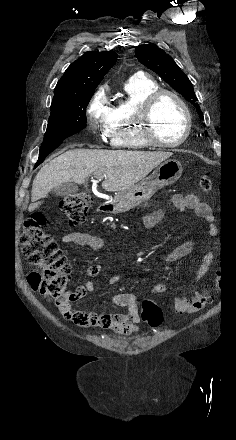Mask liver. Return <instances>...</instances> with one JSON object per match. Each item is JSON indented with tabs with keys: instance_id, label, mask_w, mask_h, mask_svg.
Here are the masks:
<instances>
[{
	"instance_id": "6515ba94",
	"label": "liver",
	"mask_w": 236,
	"mask_h": 440,
	"mask_svg": "<svg viewBox=\"0 0 236 440\" xmlns=\"http://www.w3.org/2000/svg\"><path fill=\"white\" fill-rule=\"evenodd\" d=\"M172 156L170 152L126 150L72 149L44 165L37 173L31 191L28 210L37 209L48 193L65 182L84 184L87 177L104 178L106 191L120 192L145 178L161 162Z\"/></svg>"
}]
</instances>
